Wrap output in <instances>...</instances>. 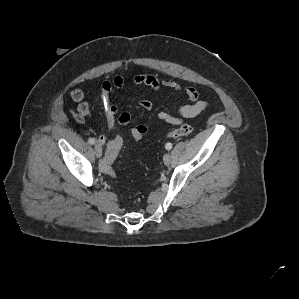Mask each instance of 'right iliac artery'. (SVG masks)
Wrapping results in <instances>:
<instances>
[{
    "label": "right iliac artery",
    "instance_id": "obj_1",
    "mask_svg": "<svg viewBox=\"0 0 299 299\" xmlns=\"http://www.w3.org/2000/svg\"><path fill=\"white\" fill-rule=\"evenodd\" d=\"M88 142L91 144V145H93V144H95V139L94 138H89L88 139Z\"/></svg>",
    "mask_w": 299,
    "mask_h": 299
}]
</instances>
